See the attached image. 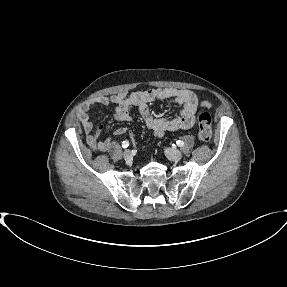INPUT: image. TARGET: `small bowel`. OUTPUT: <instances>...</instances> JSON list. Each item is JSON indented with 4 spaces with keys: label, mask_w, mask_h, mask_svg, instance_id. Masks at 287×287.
Listing matches in <instances>:
<instances>
[{
    "label": "small bowel",
    "mask_w": 287,
    "mask_h": 287,
    "mask_svg": "<svg viewBox=\"0 0 287 287\" xmlns=\"http://www.w3.org/2000/svg\"><path fill=\"white\" fill-rule=\"evenodd\" d=\"M172 100L182 106L180 113L176 117H155L148 108V103L154 101ZM98 105H113L114 118L117 121L133 120L129 109L135 106L145 121L147 127L156 135L163 136L167 132L190 129L195 125V113L199 106L209 107L207 102H199L197 96L184 89L156 88L136 91L131 93H119L114 96H98L84 104L77 113V117L86 133L88 145L95 151H106L112 144L111 138L101 140L100 134L103 127L96 129L90 119L89 110ZM130 134L127 127H119L114 131L115 135Z\"/></svg>",
    "instance_id": "1"
}]
</instances>
